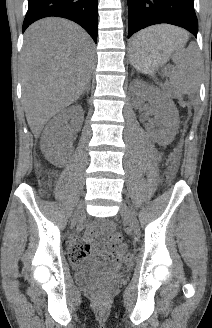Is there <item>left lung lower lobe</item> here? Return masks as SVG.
Segmentation results:
<instances>
[{"label":"left lung lower lobe","mask_w":212,"mask_h":328,"mask_svg":"<svg viewBox=\"0 0 212 328\" xmlns=\"http://www.w3.org/2000/svg\"><path fill=\"white\" fill-rule=\"evenodd\" d=\"M128 38L137 31L160 23L180 26L197 37L198 21L194 0H127ZM137 41L132 42L138 48Z\"/></svg>","instance_id":"1"}]
</instances>
